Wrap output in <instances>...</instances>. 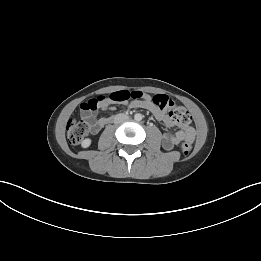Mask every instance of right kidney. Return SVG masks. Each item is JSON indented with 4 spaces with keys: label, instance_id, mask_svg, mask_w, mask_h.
I'll use <instances>...</instances> for the list:
<instances>
[{
    "label": "right kidney",
    "instance_id": "obj_1",
    "mask_svg": "<svg viewBox=\"0 0 261 261\" xmlns=\"http://www.w3.org/2000/svg\"><path fill=\"white\" fill-rule=\"evenodd\" d=\"M82 147L83 148H87V147H89L90 145H91V139H89V138H86V139H84L83 141H82Z\"/></svg>",
    "mask_w": 261,
    "mask_h": 261
}]
</instances>
